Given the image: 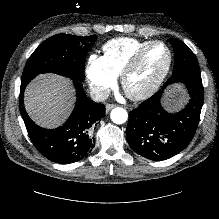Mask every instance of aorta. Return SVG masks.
<instances>
[{
    "instance_id": "obj_1",
    "label": "aorta",
    "mask_w": 219,
    "mask_h": 219,
    "mask_svg": "<svg viewBox=\"0 0 219 219\" xmlns=\"http://www.w3.org/2000/svg\"><path fill=\"white\" fill-rule=\"evenodd\" d=\"M110 117L113 123L115 124H123L128 119V113L125 109L121 107L114 108L111 113Z\"/></svg>"
}]
</instances>
